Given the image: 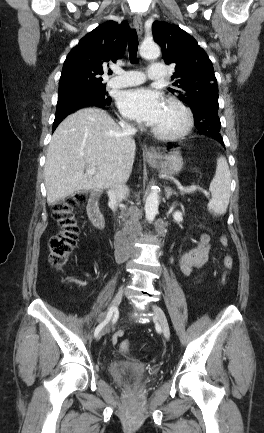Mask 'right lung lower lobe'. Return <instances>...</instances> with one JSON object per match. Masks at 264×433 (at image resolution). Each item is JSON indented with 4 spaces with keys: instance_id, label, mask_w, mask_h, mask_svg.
I'll use <instances>...</instances> for the list:
<instances>
[{
    "instance_id": "98d812e1",
    "label": "right lung lower lobe",
    "mask_w": 264,
    "mask_h": 433,
    "mask_svg": "<svg viewBox=\"0 0 264 433\" xmlns=\"http://www.w3.org/2000/svg\"><path fill=\"white\" fill-rule=\"evenodd\" d=\"M110 102H105V101H101L99 99L90 98V99H85V100H78L74 103L69 104L68 108L64 114L55 117V120L53 123V131L60 124V122L63 120V118H65L67 115L73 113L74 111L81 109V108H84V107H98V108H102V109H107Z\"/></svg>"
}]
</instances>
